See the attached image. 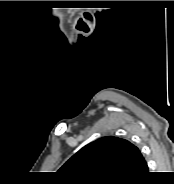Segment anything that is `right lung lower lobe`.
<instances>
[{
    "label": "right lung lower lobe",
    "mask_w": 174,
    "mask_h": 184,
    "mask_svg": "<svg viewBox=\"0 0 174 184\" xmlns=\"http://www.w3.org/2000/svg\"><path fill=\"white\" fill-rule=\"evenodd\" d=\"M148 175V167L146 168L145 171H143L140 175H138L137 177L129 180V181H126V182H123L121 184H141L143 183V180L144 178Z\"/></svg>",
    "instance_id": "right-lung-lower-lobe-1"
}]
</instances>
